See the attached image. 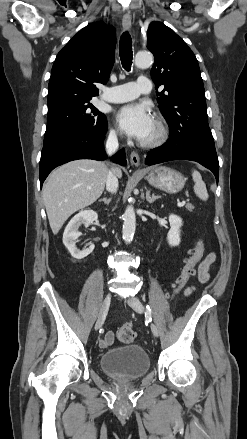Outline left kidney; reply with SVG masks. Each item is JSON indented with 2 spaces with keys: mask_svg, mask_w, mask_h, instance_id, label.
I'll use <instances>...</instances> for the list:
<instances>
[{
  "mask_svg": "<svg viewBox=\"0 0 247 439\" xmlns=\"http://www.w3.org/2000/svg\"><path fill=\"white\" fill-rule=\"evenodd\" d=\"M170 230L167 234V241L170 246L175 247L180 244V228L182 226V219L174 214L169 216Z\"/></svg>",
  "mask_w": 247,
  "mask_h": 439,
  "instance_id": "5707ae66",
  "label": "left kidney"
}]
</instances>
